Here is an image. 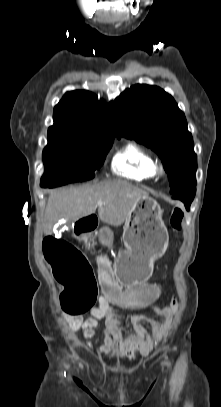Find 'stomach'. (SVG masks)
<instances>
[{
    "mask_svg": "<svg viewBox=\"0 0 221 407\" xmlns=\"http://www.w3.org/2000/svg\"><path fill=\"white\" fill-rule=\"evenodd\" d=\"M162 215L163 210L155 199L142 196L136 202L124 226L125 249L117 253L113 264L121 284L146 282L154 261L165 253L169 235Z\"/></svg>",
    "mask_w": 221,
    "mask_h": 407,
    "instance_id": "0dacf381",
    "label": "stomach"
}]
</instances>
